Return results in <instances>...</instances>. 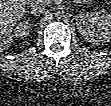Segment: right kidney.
Here are the masks:
<instances>
[{
    "label": "right kidney",
    "mask_w": 111,
    "mask_h": 106,
    "mask_svg": "<svg viewBox=\"0 0 111 106\" xmlns=\"http://www.w3.org/2000/svg\"><path fill=\"white\" fill-rule=\"evenodd\" d=\"M32 28V25L28 22L26 23H20L16 28H15V36L17 38H24L29 35L30 29Z\"/></svg>",
    "instance_id": "1"
}]
</instances>
